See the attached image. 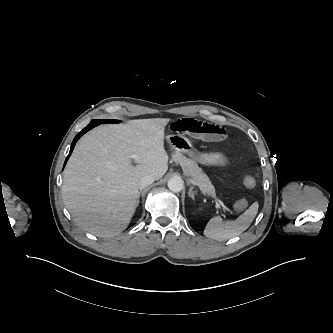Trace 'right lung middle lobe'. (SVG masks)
<instances>
[{"mask_svg":"<svg viewBox=\"0 0 333 333\" xmlns=\"http://www.w3.org/2000/svg\"><path fill=\"white\" fill-rule=\"evenodd\" d=\"M118 122H119L118 120H109V119L104 120V124L105 123H118Z\"/></svg>","mask_w":333,"mask_h":333,"instance_id":"1","label":"right lung middle lobe"}]
</instances>
